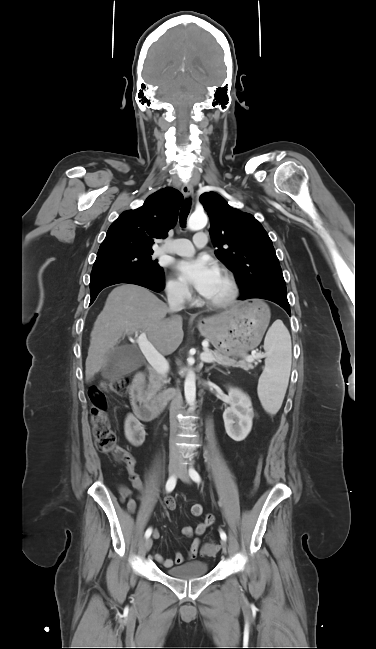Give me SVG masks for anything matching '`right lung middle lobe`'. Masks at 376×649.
<instances>
[{
  "label": "right lung middle lobe",
  "mask_w": 376,
  "mask_h": 649,
  "mask_svg": "<svg viewBox=\"0 0 376 649\" xmlns=\"http://www.w3.org/2000/svg\"><path fill=\"white\" fill-rule=\"evenodd\" d=\"M153 251H118L97 254L91 275L110 269L160 273L163 269L151 259Z\"/></svg>",
  "instance_id": "1"
}]
</instances>
